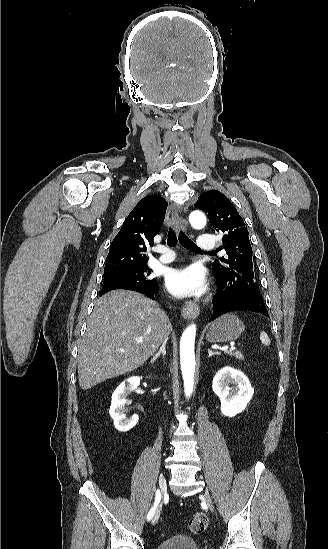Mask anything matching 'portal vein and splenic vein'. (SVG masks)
<instances>
[{
  "instance_id": "portal-vein-and-splenic-vein-1",
  "label": "portal vein and splenic vein",
  "mask_w": 328,
  "mask_h": 549,
  "mask_svg": "<svg viewBox=\"0 0 328 549\" xmlns=\"http://www.w3.org/2000/svg\"><path fill=\"white\" fill-rule=\"evenodd\" d=\"M142 339L143 337H139V339H135V341H137V343H142ZM235 349H240V346L231 347L229 351H235Z\"/></svg>"
}]
</instances>
